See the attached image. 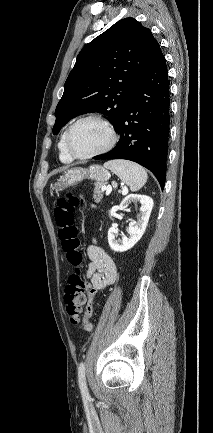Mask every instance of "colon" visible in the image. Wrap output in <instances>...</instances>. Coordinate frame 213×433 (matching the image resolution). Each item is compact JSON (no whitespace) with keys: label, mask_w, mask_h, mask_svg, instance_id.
<instances>
[{"label":"colon","mask_w":213,"mask_h":433,"mask_svg":"<svg viewBox=\"0 0 213 433\" xmlns=\"http://www.w3.org/2000/svg\"><path fill=\"white\" fill-rule=\"evenodd\" d=\"M84 202L82 196L68 192L65 197L59 198L54 209V218L58 226V236L68 261L75 267V272L68 278L64 290L65 310L72 323L81 321L86 311L88 283L82 278L83 253L80 250L78 230L74 225L75 209ZM85 331L93 329L92 323L85 317L83 319Z\"/></svg>","instance_id":"obj_1"}]
</instances>
